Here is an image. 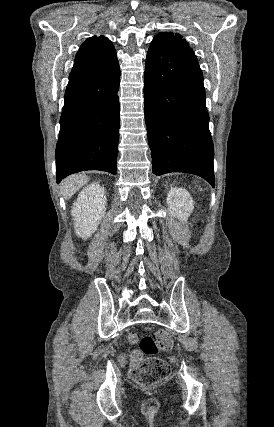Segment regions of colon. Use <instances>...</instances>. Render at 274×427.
Returning <instances> with one entry per match:
<instances>
[{
	"label": "colon",
	"mask_w": 274,
	"mask_h": 427,
	"mask_svg": "<svg viewBox=\"0 0 274 427\" xmlns=\"http://www.w3.org/2000/svg\"><path fill=\"white\" fill-rule=\"evenodd\" d=\"M132 343L139 342L131 354V380L141 386H152L166 381L171 376V367L163 359L157 357L162 351L172 347V338L169 333L157 330L152 335L138 338L130 336Z\"/></svg>",
	"instance_id": "5ec220e1"
}]
</instances>
